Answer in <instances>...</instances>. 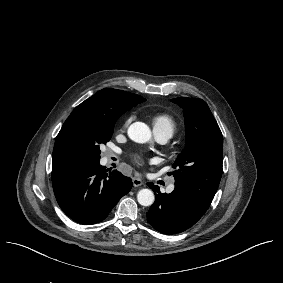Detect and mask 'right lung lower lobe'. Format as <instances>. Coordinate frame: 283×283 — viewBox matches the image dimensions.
<instances>
[{
    "label": "right lung lower lobe",
    "instance_id": "1",
    "mask_svg": "<svg viewBox=\"0 0 283 283\" xmlns=\"http://www.w3.org/2000/svg\"><path fill=\"white\" fill-rule=\"evenodd\" d=\"M99 162L83 166L52 180L61 209L80 224L104 220L122 196L132 187V180L117 170L108 174Z\"/></svg>",
    "mask_w": 283,
    "mask_h": 283
}]
</instances>
